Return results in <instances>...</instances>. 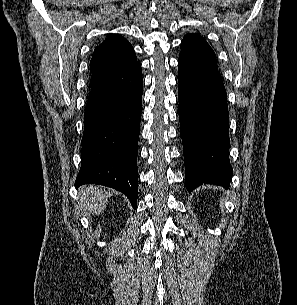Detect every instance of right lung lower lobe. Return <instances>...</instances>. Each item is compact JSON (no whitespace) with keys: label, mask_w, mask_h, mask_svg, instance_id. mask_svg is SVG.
<instances>
[{"label":"right lung lower lobe","mask_w":297,"mask_h":305,"mask_svg":"<svg viewBox=\"0 0 297 305\" xmlns=\"http://www.w3.org/2000/svg\"><path fill=\"white\" fill-rule=\"evenodd\" d=\"M143 78L140 62L118 77L93 86L87 100L81 169L75 185L100 184L124 193L135 208L137 145Z\"/></svg>","instance_id":"98d812e1"}]
</instances>
